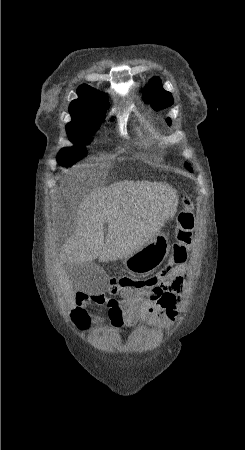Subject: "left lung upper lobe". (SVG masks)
Returning <instances> with one entry per match:
<instances>
[{
	"label": "left lung upper lobe",
	"instance_id": "left-lung-upper-lobe-1",
	"mask_svg": "<svg viewBox=\"0 0 245 450\" xmlns=\"http://www.w3.org/2000/svg\"><path fill=\"white\" fill-rule=\"evenodd\" d=\"M144 101L149 102L152 108L156 111L169 107L173 103V97L170 92L165 91L162 87L160 78L154 77L144 90ZM167 122L170 124L171 120L168 118ZM185 167L192 171L186 164Z\"/></svg>",
	"mask_w": 245,
	"mask_h": 450
}]
</instances>
